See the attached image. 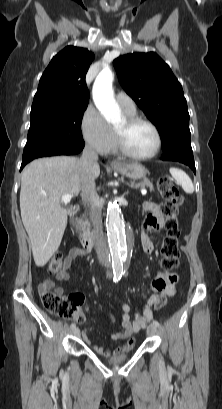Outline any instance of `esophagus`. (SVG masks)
<instances>
[{
    "instance_id": "1",
    "label": "esophagus",
    "mask_w": 222,
    "mask_h": 409,
    "mask_svg": "<svg viewBox=\"0 0 222 409\" xmlns=\"http://www.w3.org/2000/svg\"><path fill=\"white\" fill-rule=\"evenodd\" d=\"M111 165H112L113 167H117V166H121V163H120L119 160L113 159V160L111 161Z\"/></svg>"
}]
</instances>
